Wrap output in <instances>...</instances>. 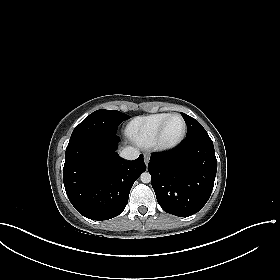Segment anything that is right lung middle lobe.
Instances as JSON below:
<instances>
[{"label":"right lung middle lobe","mask_w":280,"mask_h":280,"mask_svg":"<svg viewBox=\"0 0 280 280\" xmlns=\"http://www.w3.org/2000/svg\"><path fill=\"white\" fill-rule=\"evenodd\" d=\"M119 111L97 110L85 118L73 131L70 140L86 135H113L122 121L129 119Z\"/></svg>","instance_id":"dd1d6c3e"}]
</instances>
